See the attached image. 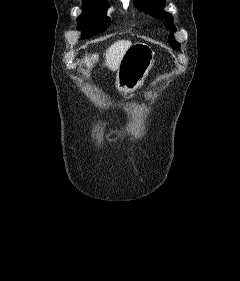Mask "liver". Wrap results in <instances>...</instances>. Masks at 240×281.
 Segmentation results:
<instances>
[{
  "label": "liver",
  "mask_w": 240,
  "mask_h": 281,
  "mask_svg": "<svg viewBox=\"0 0 240 281\" xmlns=\"http://www.w3.org/2000/svg\"><path fill=\"white\" fill-rule=\"evenodd\" d=\"M131 41L129 40H119L113 43L104 53L105 62L104 66H107L111 71H116L119 68L121 60L125 55L126 51L131 46ZM98 55H85L84 64L87 66L89 73V69L93 67L92 61L95 62L97 60Z\"/></svg>",
  "instance_id": "obj_1"
}]
</instances>
